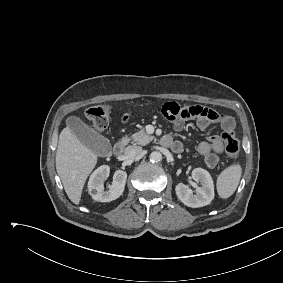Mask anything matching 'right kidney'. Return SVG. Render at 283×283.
Wrapping results in <instances>:
<instances>
[{
  "instance_id": "1",
  "label": "right kidney",
  "mask_w": 283,
  "mask_h": 283,
  "mask_svg": "<svg viewBox=\"0 0 283 283\" xmlns=\"http://www.w3.org/2000/svg\"><path fill=\"white\" fill-rule=\"evenodd\" d=\"M109 173L110 167L108 165H102L91 174L88 181V190L95 201L110 202L122 195L127 173L117 170L113 175L112 184L109 185L107 190H104V182L108 178Z\"/></svg>"
}]
</instances>
